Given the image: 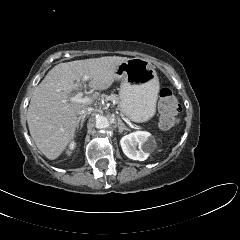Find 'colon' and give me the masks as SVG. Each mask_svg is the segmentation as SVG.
Wrapping results in <instances>:
<instances>
[{
  "label": "colon",
  "instance_id": "obj_1",
  "mask_svg": "<svg viewBox=\"0 0 240 240\" xmlns=\"http://www.w3.org/2000/svg\"><path fill=\"white\" fill-rule=\"evenodd\" d=\"M160 124L164 129L171 128L177 122L179 104L169 88H162L159 94Z\"/></svg>",
  "mask_w": 240,
  "mask_h": 240
}]
</instances>
